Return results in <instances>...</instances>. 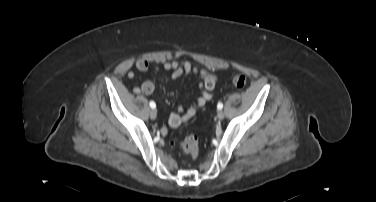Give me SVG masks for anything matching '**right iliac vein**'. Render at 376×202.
<instances>
[{
    "mask_svg": "<svg viewBox=\"0 0 376 202\" xmlns=\"http://www.w3.org/2000/svg\"><path fill=\"white\" fill-rule=\"evenodd\" d=\"M150 117H151V119H156V117H157V111L155 109H152L150 111Z\"/></svg>",
    "mask_w": 376,
    "mask_h": 202,
    "instance_id": "obj_1",
    "label": "right iliac vein"
}]
</instances>
